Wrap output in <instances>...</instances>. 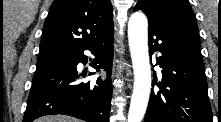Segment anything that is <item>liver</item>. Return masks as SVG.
Masks as SVG:
<instances>
[{
    "label": "liver",
    "mask_w": 221,
    "mask_h": 122,
    "mask_svg": "<svg viewBox=\"0 0 221 122\" xmlns=\"http://www.w3.org/2000/svg\"><path fill=\"white\" fill-rule=\"evenodd\" d=\"M36 122H77V119L64 115H53L38 118Z\"/></svg>",
    "instance_id": "6515ba94"
}]
</instances>
